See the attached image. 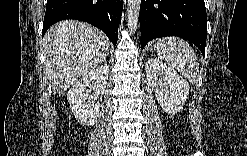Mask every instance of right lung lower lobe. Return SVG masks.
Here are the masks:
<instances>
[{
	"label": "right lung lower lobe",
	"instance_id": "98d812e1",
	"mask_svg": "<svg viewBox=\"0 0 247 156\" xmlns=\"http://www.w3.org/2000/svg\"><path fill=\"white\" fill-rule=\"evenodd\" d=\"M123 0H47L42 37L54 23L75 19L101 29L116 45Z\"/></svg>",
	"mask_w": 247,
	"mask_h": 156
}]
</instances>
